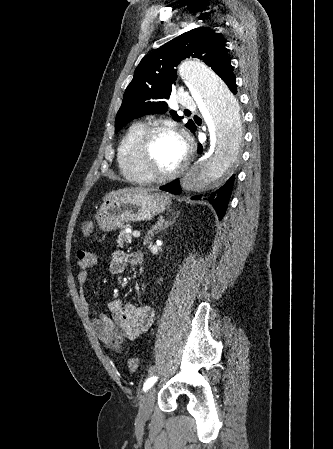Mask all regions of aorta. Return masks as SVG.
<instances>
[{
    "mask_svg": "<svg viewBox=\"0 0 333 449\" xmlns=\"http://www.w3.org/2000/svg\"><path fill=\"white\" fill-rule=\"evenodd\" d=\"M178 74L212 124L211 149L187 170L181 186L192 193L215 191L222 186L237 161L242 142L239 105L227 85L199 60H185L179 65Z\"/></svg>",
    "mask_w": 333,
    "mask_h": 449,
    "instance_id": "obj_1",
    "label": "aorta"
}]
</instances>
